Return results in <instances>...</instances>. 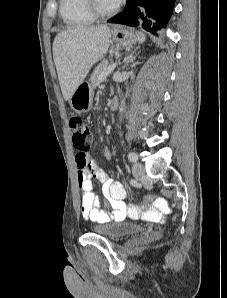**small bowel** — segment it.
Listing matches in <instances>:
<instances>
[{"label": "small bowel", "instance_id": "c3829d8e", "mask_svg": "<svg viewBox=\"0 0 227 298\" xmlns=\"http://www.w3.org/2000/svg\"><path fill=\"white\" fill-rule=\"evenodd\" d=\"M75 161L82 195L81 213L85 219L101 222L110 219L123 220L127 215L133 216V212L138 215L143 213L152 220L160 219L161 211L154 206H149L144 211H141L135 204L127 206L124 202L126 191L122 183L114 180L106 171L97 166L85 150L77 151ZM93 179H97L101 183L103 194L113 208L112 213L101 209L99 199L93 190Z\"/></svg>", "mask_w": 227, "mask_h": 298}]
</instances>
